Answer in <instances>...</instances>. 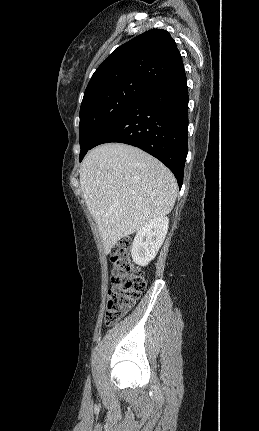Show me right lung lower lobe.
Masks as SVG:
<instances>
[{
  "label": "right lung lower lobe",
  "instance_id": "1",
  "mask_svg": "<svg viewBox=\"0 0 259 431\" xmlns=\"http://www.w3.org/2000/svg\"><path fill=\"white\" fill-rule=\"evenodd\" d=\"M187 134L188 87L183 72L149 88L105 128L91 148L108 142L136 146L166 165L181 188L188 153Z\"/></svg>",
  "mask_w": 259,
  "mask_h": 431
}]
</instances>
